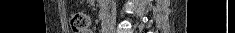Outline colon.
Returning <instances> with one entry per match:
<instances>
[{
    "label": "colon",
    "mask_w": 235,
    "mask_h": 33,
    "mask_svg": "<svg viewBox=\"0 0 235 33\" xmlns=\"http://www.w3.org/2000/svg\"><path fill=\"white\" fill-rule=\"evenodd\" d=\"M70 27L74 33H86L90 30L91 20L89 15L81 11L71 13Z\"/></svg>",
    "instance_id": "1"
}]
</instances>
